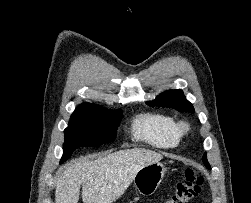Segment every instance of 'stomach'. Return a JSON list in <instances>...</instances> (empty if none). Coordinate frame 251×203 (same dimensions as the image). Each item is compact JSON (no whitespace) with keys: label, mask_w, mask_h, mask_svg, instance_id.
<instances>
[{"label":"stomach","mask_w":251,"mask_h":203,"mask_svg":"<svg viewBox=\"0 0 251 203\" xmlns=\"http://www.w3.org/2000/svg\"><path fill=\"white\" fill-rule=\"evenodd\" d=\"M166 167L160 162L148 164L141 168L134 178V185L142 195L153 194L160 185Z\"/></svg>","instance_id":"stomach-1"}]
</instances>
